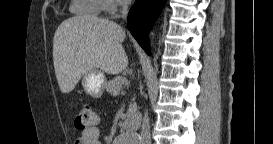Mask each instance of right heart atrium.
<instances>
[{
    "label": "right heart atrium",
    "mask_w": 273,
    "mask_h": 144,
    "mask_svg": "<svg viewBox=\"0 0 273 144\" xmlns=\"http://www.w3.org/2000/svg\"><path fill=\"white\" fill-rule=\"evenodd\" d=\"M102 1V11L107 14L115 15L119 8L123 6L124 1L121 0H101Z\"/></svg>",
    "instance_id": "1"
}]
</instances>
